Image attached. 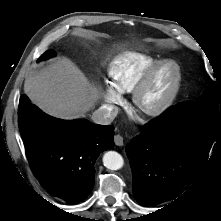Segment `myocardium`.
<instances>
[{
  "label": "myocardium",
  "mask_w": 221,
  "mask_h": 221,
  "mask_svg": "<svg viewBox=\"0 0 221 221\" xmlns=\"http://www.w3.org/2000/svg\"><path fill=\"white\" fill-rule=\"evenodd\" d=\"M164 66H171L174 71L172 87L165 98L153 105L144 103V96L152 85L157 72ZM182 84V71L179 63L173 59H163L154 63L133 90V102L144 114L159 116L166 112L175 102Z\"/></svg>",
  "instance_id": "myocardium-1"
}]
</instances>
